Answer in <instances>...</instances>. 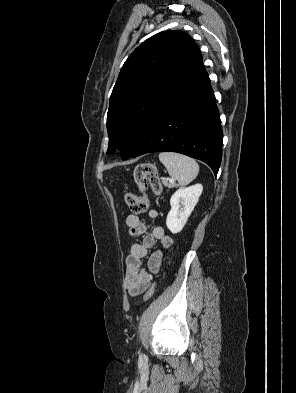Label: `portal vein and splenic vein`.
Wrapping results in <instances>:
<instances>
[{
    "instance_id": "18ae733b",
    "label": "portal vein and splenic vein",
    "mask_w": 296,
    "mask_h": 393,
    "mask_svg": "<svg viewBox=\"0 0 296 393\" xmlns=\"http://www.w3.org/2000/svg\"><path fill=\"white\" fill-rule=\"evenodd\" d=\"M169 182H170V183H174V180H173V179H170Z\"/></svg>"
}]
</instances>
